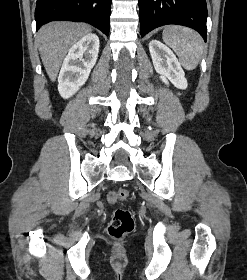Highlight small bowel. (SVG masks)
<instances>
[{
    "label": "small bowel",
    "mask_w": 247,
    "mask_h": 280,
    "mask_svg": "<svg viewBox=\"0 0 247 280\" xmlns=\"http://www.w3.org/2000/svg\"><path fill=\"white\" fill-rule=\"evenodd\" d=\"M108 199H109L110 202L114 201V193L113 192H110L108 194Z\"/></svg>",
    "instance_id": "obj_1"
}]
</instances>
